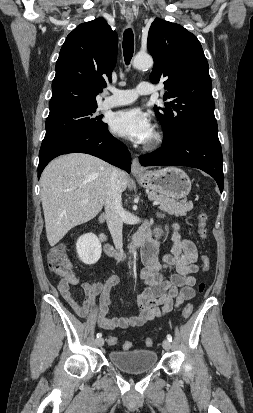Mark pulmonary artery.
<instances>
[{
	"mask_svg": "<svg viewBox=\"0 0 253 413\" xmlns=\"http://www.w3.org/2000/svg\"><path fill=\"white\" fill-rule=\"evenodd\" d=\"M108 95L101 103V109H109L134 102L140 95H151L154 87L148 82H140L135 89H109Z\"/></svg>",
	"mask_w": 253,
	"mask_h": 413,
	"instance_id": "obj_1",
	"label": "pulmonary artery"
}]
</instances>
